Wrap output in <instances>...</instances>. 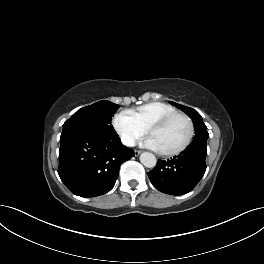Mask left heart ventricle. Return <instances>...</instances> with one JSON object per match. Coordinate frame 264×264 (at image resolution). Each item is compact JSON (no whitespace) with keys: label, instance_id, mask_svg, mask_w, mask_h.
<instances>
[{"label":"left heart ventricle","instance_id":"left-heart-ventricle-1","mask_svg":"<svg viewBox=\"0 0 264 264\" xmlns=\"http://www.w3.org/2000/svg\"><path fill=\"white\" fill-rule=\"evenodd\" d=\"M189 127L183 118L172 120L165 128L153 133L161 151H168L180 146L188 135Z\"/></svg>","mask_w":264,"mask_h":264}]
</instances>
